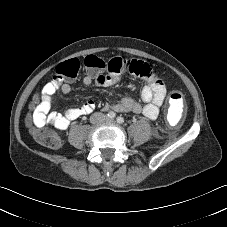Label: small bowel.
I'll use <instances>...</instances> for the list:
<instances>
[{"label":"small bowel","instance_id":"obj_1","mask_svg":"<svg viewBox=\"0 0 227 227\" xmlns=\"http://www.w3.org/2000/svg\"><path fill=\"white\" fill-rule=\"evenodd\" d=\"M115 61L116 70H110L109 74L106 75L97 74L93 76H86L83 79L84 85L104 87L114 85L118 80L117 69H126L129 64L128 61L123 59H116ZM143 78L147 82L140 92L141 101L144 105H141L132 99H124L117 104L109 105L107 109H115L121 112L132 111L134 113H143L149 119H156L159 115V108L166 97V88L164 83L153 70L150 76H145ZM60 90L62 94H68L71 87L69 84L64 83L61 85ZM53 97L54 92H48L45 89L42 103L34 107L32 118L29 120V125L31 127L53 125L58 129L64 130L68 128L71 121L82 115L91 113L96 108L95 101L88 100L78 108H70L64 112H50Z\"/></svg>","mask_w":227,"mask_h":227}]
</instances>
